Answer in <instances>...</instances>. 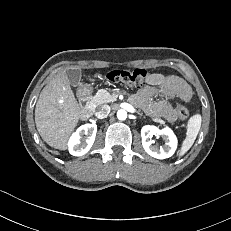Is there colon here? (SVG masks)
Here are the masks:
<instances>
[{"mask_svg": "<svg viewBox=\"0 0 231 231\" xmlns=\"http://www.w3.org/2000/svg\"><path fill=\"white\" fill-rule=\"evenodd\" d=\"M150 75L149 71L145 69L113 70L106 75V79L127 87L141 88L148 83ZM177 112L182 121L188 119L189 111L183 104H178Z\"/></svg>", "mask_w": 231, "mask_h": 231, "instance_id": "colon-1", "label": "colon"}]
</instances>
